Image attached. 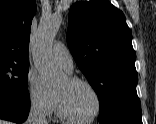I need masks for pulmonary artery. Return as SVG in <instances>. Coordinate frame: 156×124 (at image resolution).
<instances>
[{"instance_id":"obj_1","label":"pulmonary artery","mask_w":156,"mask_h":124,"mask_svg":"<svg viewBox=\"0 0 156 124\" xmlns=\"http://www.w3.org/2000/svg\"><path fill=\"white\" fill-rule=\"evenodd\" d=\"M54 59L67 71L73 70V59L67 47L61 42H55L52 47Z\"/></svg>"}]
</instances>
